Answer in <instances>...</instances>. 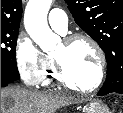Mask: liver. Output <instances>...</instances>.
<instances>
[{"mask_svg": "<svg viewBox=\"0 0 123 113\" xmlns=\"http://www.w3.org/2000/svg\"><path fill=\"white\" fill-rule=\"evenodd\" d=\"M77 102V99L59 93L1 88V113H55L57 109Z\"/></svg>", "mask_w": 123, "mask_h": 113, "instance_id": "obj_1", "label": "liver"}]
</instances>
